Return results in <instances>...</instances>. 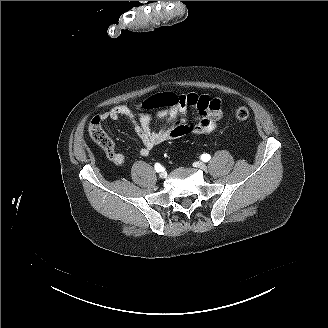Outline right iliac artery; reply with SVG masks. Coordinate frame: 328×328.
<instances>
[{"mask_svg":"<svg viewBox=\"0 0 328 328\" xmlns=\"http://www.w3.org/2000/svg\"><path fill=\"white\" fill-rule=\"evenodd\" d=\"M154 167H155L156 172H160V171H162V166H161V164L156 163Z\"/></svg>","mask_w":328,"mask_h":328,"instance_id":"1","label":"right iliac artery"}]
</instances>
